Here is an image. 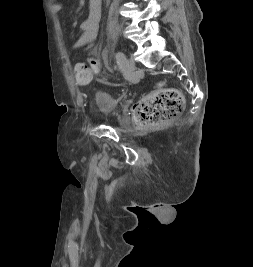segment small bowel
<instances>
[{"label":"small bowel","instance_id":"obj_1","mask_svg":"<svg viewBox=\"0 0 253 267\" xmlns=\"http://www.w3.org/2000/svg\"><path fill=\"white\" fill-rule=\"evenodd\" d=\"M51 10L54 15L59 16L62 12V5L60 3H53ZM100 17L101 0H89L88 16L80 25L81 34L73 43V49L81 48L95 39L99 27Z\"/></svg>","mask_w":253,"mask_h":267}]
</instances>
